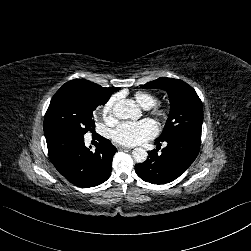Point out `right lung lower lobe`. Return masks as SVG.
Returning <instances> with one entry per match:
<instances>
[{
  "mask_svg": "<svg viewBox=\"0 0 251 251\" xmlns=\"http://www.w3.org/2000/svg\"><path fill=\"white\" fill-rule=\"evenodd\" d=\"M51 162L69 182L79 187H94L111 175L112 159L117 152L111 141L98 135L94 152L84 144V137L76 133L52 129L45 132Z\"/></svg>",
  "mask_w": 251,
  "mask_h": 251,
  "instance_id": "1",
  "label": "right lung lower lobe"
}]
</instances>
